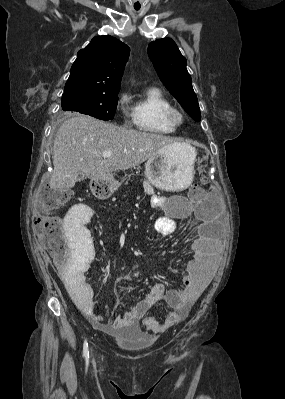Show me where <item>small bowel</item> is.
Wrapping results in <instances>:
<instances>
[{
	"label": "small bowel",
	"mask_w": 285,
	"mask_h": 399,
	"mask_svg": "<svg viewBox=\"0 0 285 399\" xmlns=\"http://www.w3.org/2000/svg\"><path fill=\"white\" fill-rule=\"evenodd\" d=\"M145 192L150 197L153 206L166 207V216L159 217L153 225L154 231L160 235L168 236L176 231L174 218H188L196 214L193 207L184 204L181 197H173L167 205L163 199L155 196L152 189L147 188ZM89 220L88 213L81 208L73 209L66 215L64 228L69 245L72 248L79 245L80 254L75 253L76 259L72 268L58 272L68 293L91 323L99 330L114 335L125 328L135 327L146 316L148 310L160 301H163L171 309V312L168 313L163 322H159L149 329L152 334L160 335L185 319L191 306L207 287L212 274L215 259L207 246L208 237L201 235L189 242L192 258L185 269L180 289L166 290L161 282H157L152 286L144 300L131 306L128 311L116 316L108 323L104 316L94 308L93 292L84 275L88 269V263L92 260V257L88 258L90 246ZM171 314L177 315L178 319L172 320Z\"/></svg>",
	"instance_id": "obj_1"
}]
</instances>
